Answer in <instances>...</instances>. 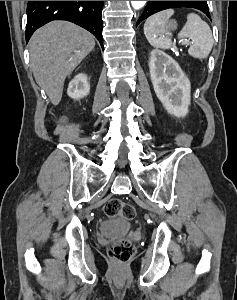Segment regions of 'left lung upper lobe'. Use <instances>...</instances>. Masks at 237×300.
I'll return each instance as SVG.
<instances>
[{
  "mask_svg": "<svg viewBox=\"0 0 237 300\" xmlns=\"http://www.w3.org/2000/svg\"><path fill=\"white\" fill-rule=\"evenodd\" d=\"M196 8L204 12L209 18L210 13L208 9L207 1H149L143 14L137 21V25L151 14L157 13L159 11L169 9V8Z\"/></svg>",
  "mask_w": 237,
  "mask_h": 300,
  "instance_id": "left-lung-upper-lobe-1",
  "label": "left lung upper lobe"
}]
</instances>
